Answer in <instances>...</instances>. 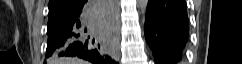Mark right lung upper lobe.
Wrapping results in <instances>:
<instances>
[{"label": "right lung upper lobe", "mask_w": 242, "mask_h": 64, "mask_svg": "<svg viewBox=\"0 0 242 64\" xmlns=\"http://www.w3.org/2000/svg\"><path fill=\"white\" fill-rule=\"evenodd\" d=\"M84 0H49V13L75 12Z\"/></svg>", "instance_id": "right-lung-upper-lobe-1"}]
</instances>
